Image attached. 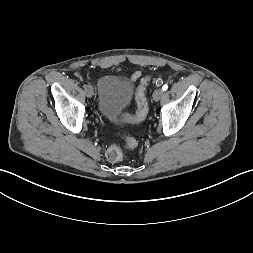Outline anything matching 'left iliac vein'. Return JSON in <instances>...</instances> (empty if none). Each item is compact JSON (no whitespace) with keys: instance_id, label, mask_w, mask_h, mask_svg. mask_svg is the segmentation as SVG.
<instances>
[{"instance_id":"4c4485c4","label":"left iliac vein","mask_w":253,"mask_h":253,"mask_svg":"<svg viewBox=\"0 0 253 253\" xmlns=\"http://www.w3.org/2000/svg\"><path fill=\"white\" fill-rule=\"evenodd\" d=\"M162 95H163V90L161 88H158L153 93V99L155 101H159Z\"/></svg>"}]
</instances>
